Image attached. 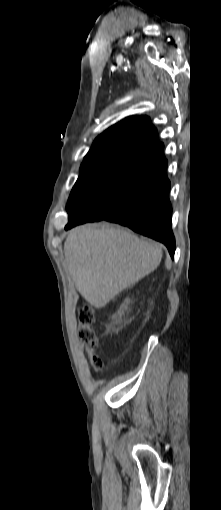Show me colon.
Masks as SVG:
<instances>
[{
	"mask_svg": "<svg viewBox=\"0 0 221 510\" xmlns=\"http://www.w3.org/2000/svg\"><path fill=\"white\" fill-rule=\"evenodd\" d=\"M78 320L81 325L79 336L86 345V351L90 360L91 367L95 371L101 370L103 363L102 360L94 353L98 339L97 335L92 328L95 320V312L91 306H82L78 309Z\"/></svg>",
	"mask_w": 221,
	"mask_h": 510,
	"instance_id": "colon-1",
	"label": "colon"
}]
</instances>
